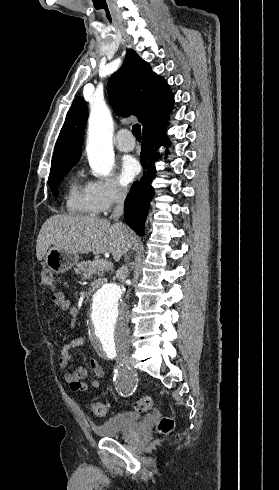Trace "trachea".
<instances>
[{
    "label": "trachea",
    "instance_id": "1",
    "mask_svg": "<svg viewBox=\"0 0 279 490\" xmlns=\"http://www.w3.org/2000/svg\"><path fill=\"white\" fill-rule=\"evenodd\" d=\"M132 133L137 140L141 139V137H140V125L138 123H136V125H133Z\"/></svg>",
    "mask_w": 279,
    "mask_h": 490
}]
</instances>
